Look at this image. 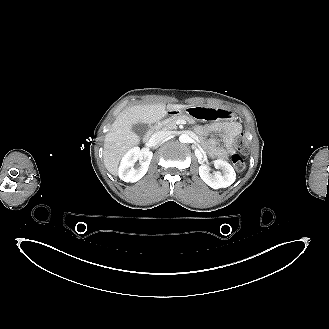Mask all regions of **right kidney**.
<instances>
[{
    "mask_svg": "<svg viewBox=\"0 0 329 329\" xmlns=\"http://www.w3.org/2000/svg\"><path fill=\"white\" fill-rule=\"evenodd\" d=\"M152 157L151 151H140L139 147L131 148L121 160L118 169L119 178L124 182H137L147 173ZM138 159L142 160L141 166L135 169L133 166Z\"/></svg>",
    "mask_w": 329,
    "mask_h": 329,
    "instance_id": "right-kidney-1",
    "label": "right kidney"
}]
</instances>
